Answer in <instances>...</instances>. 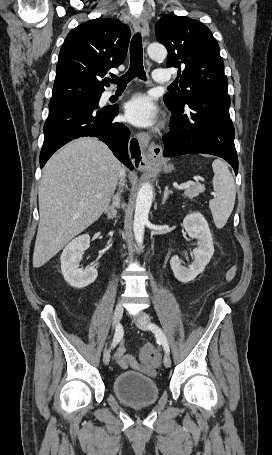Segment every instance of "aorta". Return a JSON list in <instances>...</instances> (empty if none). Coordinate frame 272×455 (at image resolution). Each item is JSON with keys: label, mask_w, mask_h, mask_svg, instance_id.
<instances>
[{"label": "aorta", "mask_w": 272, "mask_h": 455, "mask_svg": "<svg viewBox=\"0 0 272 455\" xmlns=\"http://www.w3.org/2000/svg\"><path fill=\"white\" fill-rule=\"evenodd\" d=\"M147 53L155 61H163L167 57L166 48L157 43L150 44L147 48ZM152 199V186L149 183H144L137 194L133 221L134 237L138 245L143 244L145 225L148 223Z\"/></svg>", "instance_id": "762f6f07"}]
</instances>
